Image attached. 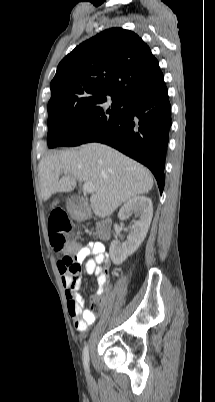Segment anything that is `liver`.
Masks as SVG:
<instances>
[{
  "label": "liver",
  "instance_id": "obj_1",
  "mask_svg": "<svg viewBox=\"0 0 215 402\" xmlns=\"http://www.w3.org/2000/svg\"><path fill=\"white\" fill-rule=\"evenodd\" d=\"M65 175L60 178L61 171ZM41 197L71 192L77 180L95 187L90 203L94 214L105 218L127 200L153 187L150 171L119 151L99 143L48 155L39 163Z\"/></svg>",
  "mask_w": 215,
  "mask_h": 402
}]
</instances>
